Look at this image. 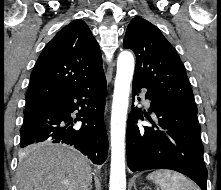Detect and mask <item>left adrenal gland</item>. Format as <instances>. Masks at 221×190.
Here are the masks:
<instances>
[{
  "label": "left adrenal gland",
  "instance_id": "1",
  "mask_svg": "<svg viewBox=\"0 0 221 190\" xmlns=\"http://www.w3.org/2000/svg\"><path fill=\"white\" fill-rule=\"evenodd\" d=\"M134 189L137 190L136 186L134 185Z\"/></svg>",
  "mask_w": 221,
  "mask_h": 190
}]
</instances>
